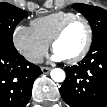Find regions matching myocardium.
<instances>
[{"label":"myocardium","mask_w":107,"mask_h":107,"mask_svg":"<svg viewBox=\"0 0 107 107\" xmlns=\"http://www.w3.org/2000/svg\"><path fill=\"white\" fill-rule=\"evenodd\" d=\"M75 21H82L85 24V26L87 28V41H86L83 49L76 56L69 58V59H65V61L69 64H74V63L81 61L88 54V52L92 46L93 29H92V26H91L90 22L88 21V19H86L85 17L80 16V15H76V16H73V17L67 19L57 29V31L55 32V34L50 42L51 48H52V50H54L55 44L61 39V37L63 36L65 31L67 30V28Z\"/></svg>","instance_id":"1"}]
</instances>
